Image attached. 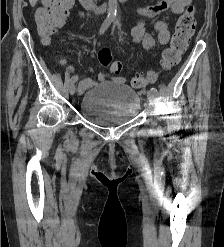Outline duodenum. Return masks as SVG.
<instances>
[{"instance_id":"1","label":"duodenum","mask_w":224,"mask_h":247,"mask_svg":"<svg viewBox=\"0 0 224 247\" xmlns=\"http://www.w3.org/2000/svg\"><path fill=\"white\" fill-rule=\"evenodd\" d=\"M113 1L114 0H106L105 3L99 6V8L101 10H105L108 6L111 5ZM79 2L85 9H91L92 6L94 5V0H79Z\"/></svg>"}]
</instances>
